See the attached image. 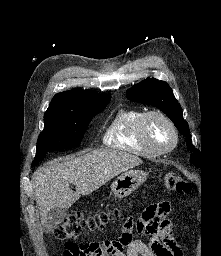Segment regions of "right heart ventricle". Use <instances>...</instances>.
<instances>
[{
    "label": "right heart ventricle",
    "mask_w": 221,
    "mask_h": 256,
    "mask_svg": "<svg viewBox=\"0 0 221 256\" xmlns=\"http://www.w3.org/2000/svg\"><path fill=\"white\" fill-rule=\"evenodd\" d=\"M143 113L139 109L117 111L105 128L103 143L141 156H153L154 153L140 142L137 135L139 119Z\"/></svg>",
    "instance_id": "1"
}]
</instances>
